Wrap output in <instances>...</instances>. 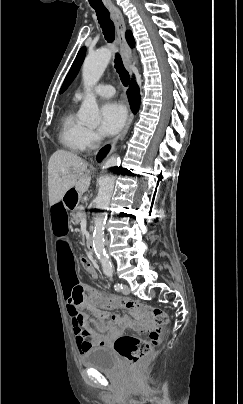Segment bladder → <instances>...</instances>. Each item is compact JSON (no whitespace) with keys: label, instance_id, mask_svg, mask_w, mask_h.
I'll return each instance as SVG.
<instances>
[{"label":"bladder","instance_id":"bladder-1","mask_svg":"<svg viewBox=\"0 0 243 404\" xmlns=\"http://www.w3.org/2000/svg\"><path fill=\"white\" fill-rule=\"evenodd\" d=\"M82 365L102 373L115 374L120 365L114 352L104 346H96L86 350L80 357Z\"/></svg>","mask_w":243,"mask_h":404}]
</instances>
